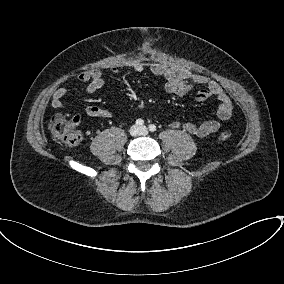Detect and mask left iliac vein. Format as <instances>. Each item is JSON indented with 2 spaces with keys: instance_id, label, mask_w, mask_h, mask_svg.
I'll list each match as a JSON object with an SVG mask.
<instances>
[{
  "instance_id": "4c4485c4",
  "label": "left iliac vein",
  "mask_w": 284,
  "mask_h": 284,
  "mask_svg": "<svg viewBox=\"0 0 284 284\" xmlns=\"http://www.w3.org/2000/svg\"><path fill=\"white\" fill-rule=\"evenodd\" d=\"M140 133L142 135H146L148 133V129L145 126L140 127Z\"/></svg>"
}]
</instances>
